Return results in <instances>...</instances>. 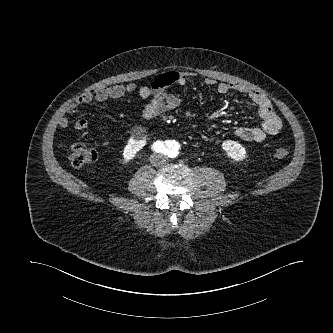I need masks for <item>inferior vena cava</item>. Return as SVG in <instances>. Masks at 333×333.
<instances>
[{"mask_svg": "<svg viewBox=\"0 0 333 333\" xmlns=\"http://www.w3.org/2000/svg\"><path fill=\"white\" fill-rule=\"evenodd\" d=\"M163 161H165V156L162 154H153L150 158V162L153 165H160Z\"/></svg>", "mask_w": 333, "mask_h": 333, "instance_id": "1", "label": "inferior vena cava"}]
</instances>
